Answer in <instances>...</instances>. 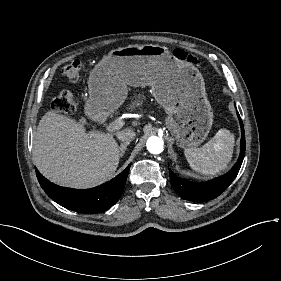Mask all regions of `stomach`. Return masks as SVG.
Returning <instances> with one entry per match:
<instances>
[{
	"label": "stomach",
	"instance_id": "0dacf381",
	"mask_svg": "<svg viewBox=\"0 0 281 281\" xmlns=\"http://www.w3.org/2000/svg\"><path fill=\"white\" fill-rule=\"evenodd\" d=\"M88 85L84 112L92 121L112 114L125 100L127 86L150 85L179 146H198L212 128L214 114L202 74L165 47L146 44L111 50L91 71Z\"/></svg>",
	"mask_w": 281,
	"mask_h": 281
}]
</instances>
